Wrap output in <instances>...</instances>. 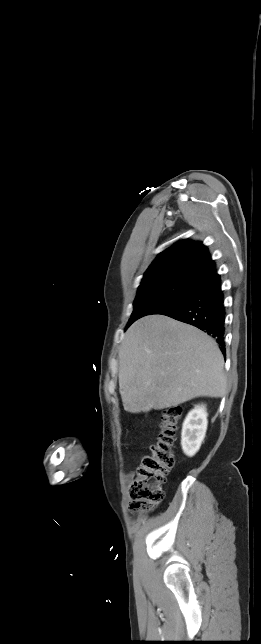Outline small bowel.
I'll return each instance as SVG.
<instances>
[{
  "mask_svg": "<svg viewBox=\"0 0 261 644\" xmlns=\"http://www.w3.org/2000/svg\"><path fill=\"white\" fill-rule=\"evenodd\" d=\"M134 477V473L132 471L128 472L125 476L126 481H131Z\"/></svg>",
  "mask_w": 261,
  "mask_h": 644,
  "instance_id": "c3829d8e",
  "label": "small bowel"
}]
</instances>
